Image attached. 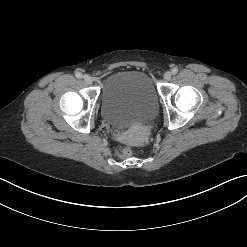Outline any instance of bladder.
I'll return each instance as SVG.
<instances>
[{
	"label": "bladder",
	"mask_w": 247,
	"mask_h": 247,
	"mask_svg": "<svg viewBox=\"0 0 247 247\" xmlns=\"http://www.w3.org/2000/svg\"><path fill=\"white\" fill-rule=\"evenodd\" d=\"M158 106V91L149 75L142 71L113 73L102 85V118L119 130L150 123Z\"/></svg>",
	"instance_id": "obj_1"
}]
</instances>
